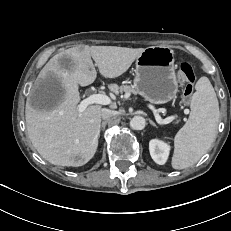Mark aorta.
Wrapping results in <instances>:
<instances>
[{
	"mask_svg": "<svg viewBox=\"0 0 231 231\" xmlns=\"http://www.w3.org/2000/svg\"><path fill=\"white\" fill-rule=\"evenodd\" d=\"M146 125V121L142 116H134L130 120V127L134 130H142Z\"/></svg>",
	"mask_w": 231,
	"mask_h": 231,
	"instance_id": "762f6f07",
	"label": "aorta"
}]
</instances>
